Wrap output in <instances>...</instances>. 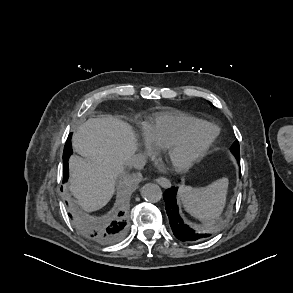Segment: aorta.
Here are the masks:
<instances>
[{"mask_svg": "<svg viewBox=\"0 0 293 293\" xmlns=\"http://www.w3.org/2000/svg\"><path fill=\"white\" fill-rule=\"evenodd\" d=\"M141 195L146 201L155 203L162 198V190L157 184L148 183L142 187Z\"/></svg>", "mask_w": 293, "mask_h": 293, "instance_id": "obj_1", "label": "aorta"}]
</instances>
